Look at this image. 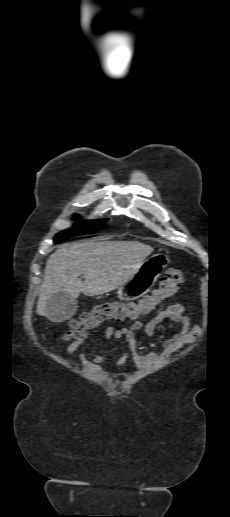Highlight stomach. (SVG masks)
Listing matches in <instances>:
<instances>
[{"instance_id": "obj_1", "label": "stomach", "mask_w": 230, "mask_h": 517, "mask_svg": "<svg viewBox=\"0 0 230 517\" xmlns=\"http://www.w3.org/2000/svg\"><path fill=\"white\" fill-rule=\"evenodd\" d=\"M168 263V256L162 253H156L147 258L128 282L120 286L117 292L118 298L131 301L145 295L153 287Z\"/></svg>"}]
</instances>
